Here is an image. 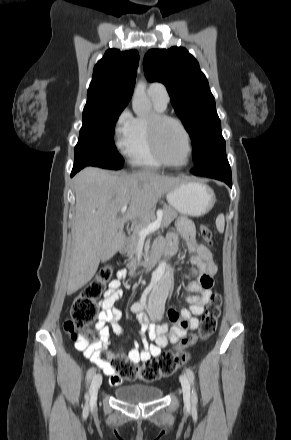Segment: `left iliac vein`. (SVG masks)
<instances>
[{
    "label": "left iliac vein",
    "mask_w": 291,
    "mask_h": 440,
    "mask_svg": "<svg viewBox=\"0 0 291 440\" xmlns=\"http://www.w3.org/2000/svg\"><path fill=\"white\" fill-rule=\"evenodd\" d=\"M180 381H181V384H182V391H183L184 401H185L186 404L189 405L190 397H191V387H190L189 379L187 378V376L181 375L180 376Z\"/></svg>",
    "instance_id": "4c4485c4"
}]
</instances>
